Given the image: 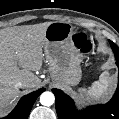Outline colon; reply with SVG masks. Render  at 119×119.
Instances as JSON below:
<instances>
[{
  "mask_svg": "<svg viewBox=\"0 0 119 119\" xmlns=\"http://www.w3.org/2000/svg\"><path fill=\"white\" fill-rule=\"evenodd\" d=\"M73 42L76 48L82 53L87 54L91 51V44L87 41L86 37L82 34H76L73 37Z\"/></svg>",
  "mask_w": 119,
  "mask_h": 119,
  "instance_id": "5ec220e1",
  "label": "colon"
}]
</instances>
